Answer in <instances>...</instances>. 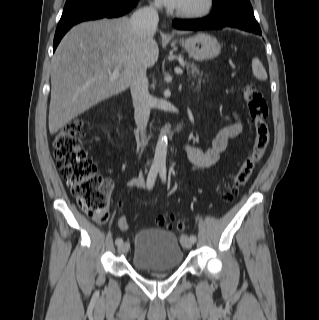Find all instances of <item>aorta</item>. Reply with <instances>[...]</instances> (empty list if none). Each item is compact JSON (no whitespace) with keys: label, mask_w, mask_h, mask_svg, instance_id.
<instances>
[{"label":"aorta","mask_w":319,"mask_h":320,"mask_svg":"<svg viewBox=\"0 0 319 320\" xmlns=\"http://www.w3.org/2000/svg\"><path fill=\"white\" fill-rule=\"evenodd\" d=\"M167 155V135L162 130L156 144L153 164L158 167H165Z\"/></svg>","instance_id":"obj_1"}]
</instances>
